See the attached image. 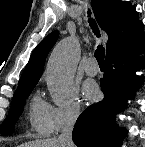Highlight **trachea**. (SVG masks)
<instances>
[{
  "instance_id": "3493384b",
  "label": "trachea",
  "mask_w": 145,
  "mask_h": 147,
  "mask_svg": "<svg viewBox=\"0 0 145 147\" xmlns=\"http://www.w3.org/2000/svg\"><path fill=\"white\" fill-rule=\"evenodd\" d=\"M90 11H88V14L90 16ZM89 24L93 30V32L95 33V35L97 37H100V32H99V29L95 23V20L94 19H89ZM104 56H105V48L101 45H98L96 51H95V58L98 62L99 65H105V62H104Z\"/></svg>"
}]
</instances>
